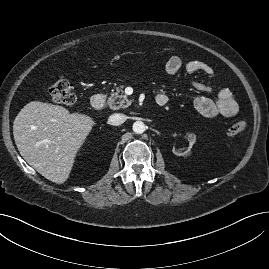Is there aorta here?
I'll use <instances>...</instances> for the list:
<instances>
[{"label": "aorta", "mask_w": 269, "mask_h": 269, "mask_svg": "<svg viewBox=\"0 0 269 269\" xmlns=\"http://www.w3.org/2000/svg\"><path fill=\"white\" fill-rule=\"evenodd\" d=\"M145 124L142 121H136L133 124V131L136 134H142L145 131Z\"/></svg>", "instance_id": "1"}]
</instances>
